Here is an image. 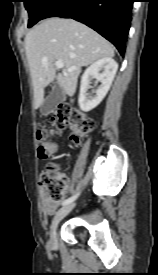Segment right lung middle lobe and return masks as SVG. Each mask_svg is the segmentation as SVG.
<instances>
[{"mask_svg":"<svg viewBox=\"0 0 158 275\" xmlns=\"http://www.w3.org/2000/svg\"><path fill=\"white\" fill-rule=\"evenodd\" d=\"M57 0H24L25 8L29 13L28 27L33 26L40 21L46 11L56 2Z\"/></svg>","mask_w":158,"mask_h":275,"instance_id":"obj_1","label":"right lung middle lobe"}]
</instances>
